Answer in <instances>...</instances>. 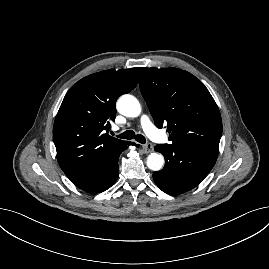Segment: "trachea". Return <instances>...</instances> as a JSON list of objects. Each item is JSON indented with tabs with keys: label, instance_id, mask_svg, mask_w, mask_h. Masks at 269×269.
I'll list each match as a JSON object with an SVG mask.
<instances>
[{
	"label": "trachea",
	"instance_id": "3493384b",
	"mask_svg": "<svg viewBox=\"0 0 269 269\" xmlns=\"http://www.w3.org/2000/svg\"><path fill=\"white\" fill-rule=\"evenodd\" d=\"M118 137L121 139H128V140L135 139L137 142L142 143V144L146 143V139L143 135L141 134L136 135L135 132L132 130H127L124 133L118 135Z\"/></svg>",
	"mask_w": 269,
	"mask_h": 269
}]
</instances>
